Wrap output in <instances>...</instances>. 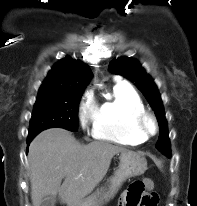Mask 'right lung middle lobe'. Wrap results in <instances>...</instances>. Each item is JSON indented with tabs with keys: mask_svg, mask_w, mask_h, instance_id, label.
<instances>
[{
	"mask_svg": "<svg viewBox=\"0 0 197 206\" xmlns=\"http://www.w3.org/2000/svg\"><path fill=\"white\" fill-rule=\"evenodd\" d=\"M82 92L44 91L39 92L28 138H34L41 131L60 127L69 131L78 130V104Z\"/></svg>",
	"mask_w": 197,
	"mask_h": 206,
	"instance_id": "right-lung-middle-lobe-1",
	"label": "right lung middle lobe"
}]
</instances>
